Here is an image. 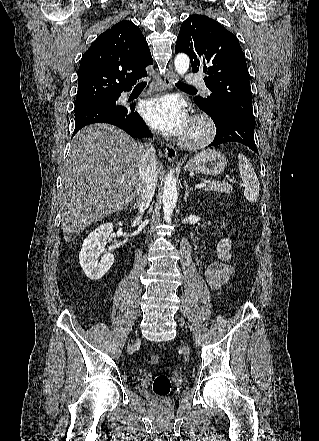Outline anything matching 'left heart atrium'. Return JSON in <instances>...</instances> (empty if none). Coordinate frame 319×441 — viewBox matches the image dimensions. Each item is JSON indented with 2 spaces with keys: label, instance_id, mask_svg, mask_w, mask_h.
<instances>
[{
  "label": "left heart atrium",
  "instance_id": "left-heart-atrium-1",
  "mask_svg": "<svg viewBox=\"0 0 319 441\" xmlns=\"http://www.w3.org/2000/svg\"><path fill=\"white\" fill-rule=\"evenodd\" d=\"M140 110L151 127L165 134L180 135L187 130V116L173 97L148 99L141 104Z\"/></svg>",
  "mask_w": 319,
  "mask_h": 441
}]
</instances>
